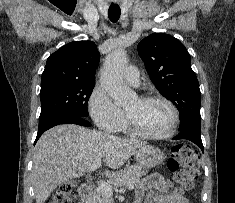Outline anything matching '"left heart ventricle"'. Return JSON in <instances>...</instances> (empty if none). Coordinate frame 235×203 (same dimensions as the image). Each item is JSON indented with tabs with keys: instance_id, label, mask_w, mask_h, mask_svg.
<instances>
[{
	"instance_id": "1",
	"label": "left heart ventricle",
	"mask_w": 235,
	"mask_h": 203,
	"mask_svg": "<svg viewBox=\"0 0 235 203\" xmlns=\"http://www.w3.org/2000/svg\"><path fill=\"white\" fill-rule=\"evenodd\" d=\"M125 110L138 128L151 134L165 132L172 120L171 110L160 101H143L136 97L126 104Z\"/></svg>"
}]
</instances>
